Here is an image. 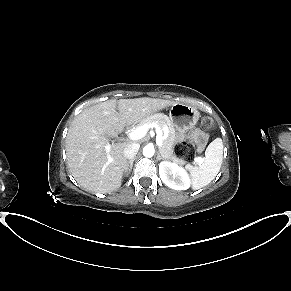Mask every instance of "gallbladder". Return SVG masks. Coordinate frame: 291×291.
<instances>
[{
	"instance_id": "gallbladder-1",
	"label": "gallbladder",
	"mask_w": 291,
	"mask_h": 291,
	"mask_svg": "<svg viewBox=\"0 0 291 291\" xmlns=\"http://www.w3.org/2000/svg\"><path fill=\"white\" fill-rule=\"evenodd\" d=\"M110 140H115V138L111 137Z\"/></svg>"
}]
</instances>
